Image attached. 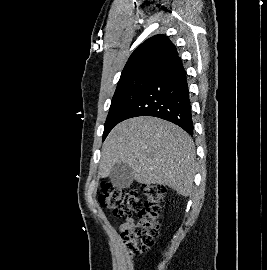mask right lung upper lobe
<instances>
[{
	"label": "right lung upper lobe",
	"instance_id": "obj_1",
	"mask_svg": "<svg viewBox=\"0 0 267 270\" xmlns=\"http://www.w3.org/2000/svg\"><path fill=\"white\" fill-rule=\"evenodd\" d=\"M178 57L174 44L165 35H155L141 45L129 57L118 84L132 78L157 74Z\"/></svg>",
	"mask_w": 267,
	"mask_h": 270
}]
</instances>
